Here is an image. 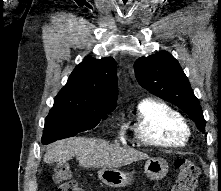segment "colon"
Masks as SVG:
<instances>
[{"label": "colon", "instance_id": "1", "mask_svg": "<svg viewBox=\"0 0 221 191\" xmlns=\"http://www.w3.org/2000/svg\"><path fill=\"white\" fill-rule=\"evenodd\" d=\"M174 165L178 174L171 191H193L199 176L197 165L186 159H176ZM53 180L58 185L57 191H85L72 178L71 169L65 163L55 167Z\"/></svg>", "mask_w": 221, "mask_h": 191}]
</instances>
